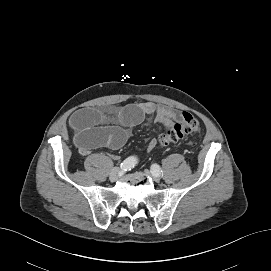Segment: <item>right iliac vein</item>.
I'll return each instance as SVG.
<instances>
[{
    "instance_id": "right-iliac-vein-1",
    "label": "right iliac vein",
    "mask_w": 271,
    "mask_h": 271,
    "mask_svg": "<svg viewBox=\"0 0 271 271\" xmlns=\"http://www.w3.org/2000/svg\"><path fill=\"white\" fill-rule=\"evenodd\" d=\"M121 169L120 168H117V167H115V168H113L112 170H111V172H110V180L111 181H115L118 177H119V175L121 174Z\"/></svg>"
}]
</instances>
